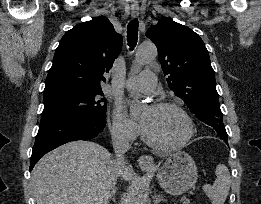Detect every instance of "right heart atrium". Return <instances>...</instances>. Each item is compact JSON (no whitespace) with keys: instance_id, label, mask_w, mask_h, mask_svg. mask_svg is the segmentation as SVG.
<instances>
[{"instance_id":"obj_1","label":"right heart atrium","mask_w":261,"mask_h":204,"mask_svg":"<svg viewBox=\"0 0 261 204\" xmlns=\"http://www.w3.org/2000/svg\"><path fill=\"white\" fill-rule=\"evenodd\" d=\"M109 128L114 138L124 142L135 141L141 133L139 125L131 120L119 106L113 109Z\"/></svg>"}]
</instances>
